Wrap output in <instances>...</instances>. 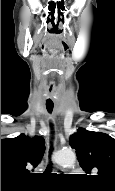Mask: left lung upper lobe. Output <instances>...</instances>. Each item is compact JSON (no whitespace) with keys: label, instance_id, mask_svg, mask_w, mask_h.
I'll return each instance as SVG.
<instances>
[{"label":"left lung upper lobe","instance_id":"1","mask_svg":"<svg viewBox=\"0 0 115 191\" xmlns=\"http://www.w3.org/2000/svg\"><path fill=\"white\" fill-rule=\"evenodd\" d=\"M86 177L104 191H115V139L108 134L79 128L70 137Z\"/></svg>","mask_w":115,"mask_h":191}]
</instances>
